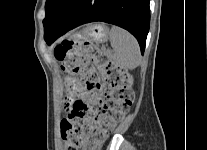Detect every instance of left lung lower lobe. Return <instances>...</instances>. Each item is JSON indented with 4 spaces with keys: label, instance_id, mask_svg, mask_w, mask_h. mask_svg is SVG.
I'll use <instances>...</instances> for the list:
<instances>
[{
    "label": "left lung lower lobe",
    "instance_id": "0a47b994",
    "mask_svg": "<svg viewBox=\"0 0 207 150\" xmlns=\"http://www.w3.org/2000/svg\"><path fill=\"white\" fill-rule=\"evenodd\" d=\"M94 21L128 30L144 53L150 25L149 0H71L55 25L44 33V39L50 45L69 30Z\"/></svg>",
    "mask_w": 207,
    "mask_h": 150
}]
</instances>
